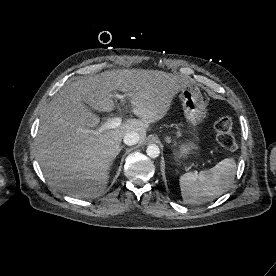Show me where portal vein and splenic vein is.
I'll list each match as a JSON object with an SVG mask.
<instances>
[{
  "mask_svg": "<svg viewBox=\"0 0 276 276\" xmlns=\"http://www.w3.org/2000/svg\"><path fill=\"white\" fill-rule=\"evenodd\" d=\"M118 98L121 99V101H123L125 96L124 95H119ZM121 122H122L121 117L112 118L111 120L107 121L104 125H102L99 129L92 130V131H90V133H92L94 135H99L105 130L116 129L121 125Z\"/></svg>",
  "mask_w": 276,
  "mask_h": 276,
  "instance_id": "portal-vein-and-splenic-vein-1",
  "label": "portal vein and splenic vein"
}]
</instances>
